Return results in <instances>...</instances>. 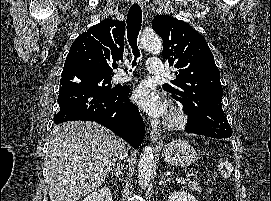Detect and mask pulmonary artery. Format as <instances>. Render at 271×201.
<instances>
[{"label":"pulmonary artery","instance_id":"pulmonary-artery-1","mask_svg":"<svg viewBox=\"0 0 271 201\" xmlns=\"http://www.w3.org/2000/svg\"><path fill=\"white\" fill-rule=\"evenodd\" d=\"M163 66V62L160 58L151 57L147 64V70L151 74H161L163 72ZM131 79L132 77L125 73L123 70H120L114 76L115 82L118 83L128 82Z\"/></svg>","mask_w":271,"mask_h":201}]
</instances>
